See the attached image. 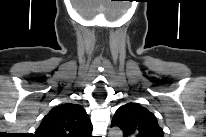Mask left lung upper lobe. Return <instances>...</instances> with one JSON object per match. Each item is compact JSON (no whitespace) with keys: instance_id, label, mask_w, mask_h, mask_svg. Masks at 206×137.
I'll return each instance as SVG.
<instances>
[{"instance_id":"left-lung-upper-lobe-1","label":"left lung upper lobe","mask_w":206,"mask_h":137,"mask_svg":"<svg viewBox=\"0 0 206 137\" xmlns=\"http://www.w3.org/2000/svg\"><path fill=\"white\" fill-rule=\"evenodd\" d=\"M111 126L120 127L124 137H163V130L154 114L136 103L118 108Z\"/></svg>"}]
</instances>
